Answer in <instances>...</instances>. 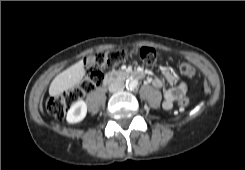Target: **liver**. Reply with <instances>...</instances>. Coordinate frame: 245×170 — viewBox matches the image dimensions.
Here are the masks:
<instances>
[{
    "label": "liver",
    "instance_id": "obj_1",
    "mask_svg": "<svg viewBox=\"0 0 245 170\" xmlns=\"http://www.w3.org/2000/svg\"><path fill=\"white\" fill-rule=\"evenodd\" d=\"M85 75L84 63L79 61L58 74L49 87L50 96H57L62 92L79 84Z\"/></svg>",
    "mask_w": 245,
    "mask_h": 170
}]
</instances>
